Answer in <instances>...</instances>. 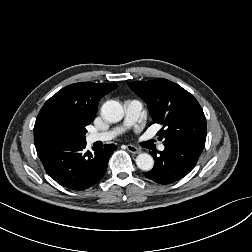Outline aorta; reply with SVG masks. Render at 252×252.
<instances>
[{"mask_svg": "<svg viewBox=\"0 0 252 252\" xmlns=\"http://www.w3.org/2000/svg\"><path fill=\"white\" fill-rule=\"evenodd\" d=\"M101 115L106 121L117 123L122 120L124 116V110L118 101L109 100L102 105ZM135 161L137 167L143 171H149L154 166L153 157L147 153L139 154Z\"/></svg>", "mask_w": 252, "mask_h": 252, "instance_id": "obj_1", "label": "aorta"}]
</instances>
